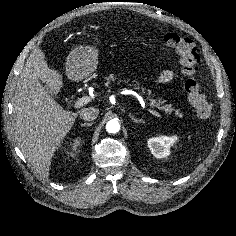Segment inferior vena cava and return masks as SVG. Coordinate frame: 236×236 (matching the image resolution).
<instances>
[{
	"label": "inferior vena cava",
	"mask_w": 236,
	"mask_h": 236,
	"mask_svg": "<svg viewBox=\"0 0 236 236\" xmlns=\"http://www.w3.org/2000/svg\"><path fill=\"white\" fill-rule=\"evenodd\" d=\"M99 109L94 107L83 108L80 111V117L85 121H91L98 117Z\"/></svg>",
	"instance_id": "602c4592"
}]
</instances>
